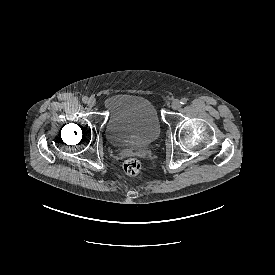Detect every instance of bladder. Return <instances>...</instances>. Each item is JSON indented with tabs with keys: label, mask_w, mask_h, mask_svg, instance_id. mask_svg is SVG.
I'll use <instances>...</instances> for the list:
<instances>
[{
	"label": "bladder",
	"mask_w": 275,
	"mask_h": 275,
	"mask_svg": "<svg viewBox=\"0 0 275 275\" xmlns=\"http://www.w3.org/2000/svg\"><path fill=\"white\" fill-rule=\"evenodd\" d=\"M108 114L106 135L119 147L143 146L160 134V122L154 105L147 99L126 93L103 100Z\"/></svg>",
	"instance_id": "31cf9c89"
}]
</instances>
